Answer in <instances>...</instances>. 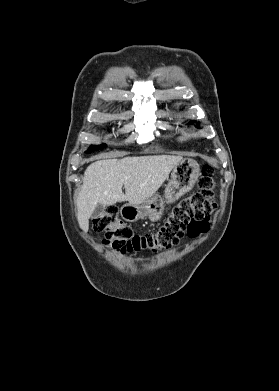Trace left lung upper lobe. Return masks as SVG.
<instances>
[{
  "instance_id": "left-lung-upper-lobe-1",
  "label": "left lung upper lobe",
  "mask_w": 279,
  "mask_h": 391,
  "mask_svg": "<svg viewBox=\"0 0 279 391\" xmlns=\"http://www.w3.org/2000/svg\"><path fill=\"white\" fill-rule=\"evenodd\" d=\"M195 121H192V122H189V124H192V123H194ZM197 125H199L198 123H197Z\"/></svg>"
}]
</instances>
